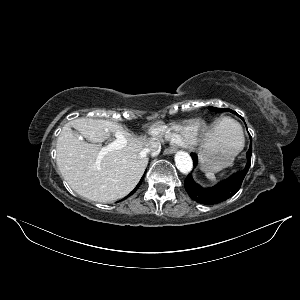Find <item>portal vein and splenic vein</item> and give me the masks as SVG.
<instances>
[{"label":"portal vein and splenic vein","mask_w":300,"mask_h":300,"mask_svg":"<svg viewBox=\"0 0 300 300\" xmlns=\"http://www.w3.org/2000/svg\"><path fill=\"white\" fill-rule=\"evenodd\" d=\"M125 145H126L125 138L120 134H116V140L109 143L107 146L103 147L98 153L97 164L101 162L105 154L114 150L122 149L123 147H125Z\"/></svg>","instance_id":"1"}]
</instances>
